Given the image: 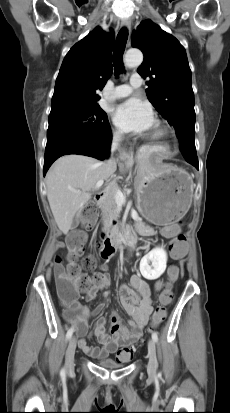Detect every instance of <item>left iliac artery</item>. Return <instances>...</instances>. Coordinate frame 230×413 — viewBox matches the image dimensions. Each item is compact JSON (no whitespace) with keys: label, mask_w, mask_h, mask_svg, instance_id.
<instances>
[{"label":"left iliac artery","mask_w":230,"mask_h":413,"mask_svg":"<svg viewBox=\"0 0 230 413\" xmlns=\"http://www.w3.org/2000/svg\"><path fill=\"white\" fill-rule=\"evenodd\" d=\"M152 339L154 340V342H157V341H158V334H157V332H153V333H152Z\"/></svg>","instance_id":"left-iliac-artery-1"}]
</instances>
